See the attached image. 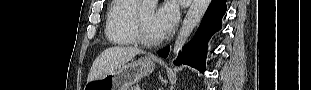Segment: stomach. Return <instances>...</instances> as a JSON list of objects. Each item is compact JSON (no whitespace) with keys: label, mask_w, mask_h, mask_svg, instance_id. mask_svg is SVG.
I'll use <instances>...</instances> for the list:
<instances>
[{"label":"stomach","mask_w":311,"mask_h":90,"mask_svg":"<svg viewBox=\"0 0 311 90\" xmlns=\"http://www.w3.org/2000/svg\"><path fill=\"white\" fill-rule=\"evenodd\" d=\"M155 62L156 58L152 56L132 60L104 77L88 82L85 90H129L141 78L153 72Z\"/></svg>","instance_id":"stomach-1"}]
</instances>
